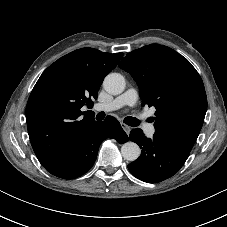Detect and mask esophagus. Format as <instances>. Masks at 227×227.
<instances>
[{
    "instance_id": "obj_1",
    "label": "esophagus",
    "mask_w": 227,
    "mask_h": 227,
    "mask_svg": "<svg viewBox=\"0 0 227 227\" xmlns=\"http://www.w3.org/2000/svg\"><path fill=\"white\" fill-rule=\"evenodd\" d=\"M121 126L124 129V131L126 132V134L129 135L130 131H131L130 126L126 125L125 123H121Z\"/></svg>"
}]
</instances>
